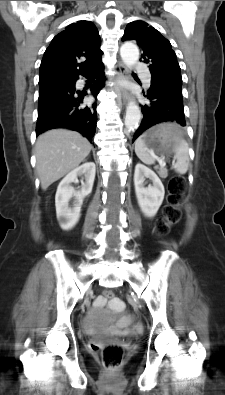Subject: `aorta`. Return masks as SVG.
<instances>
[{
	"mask_svg": "<svg viewBox=\"0 0 225 395\" xmlns=\"http://www.w3.org/2000/svg\"><path fill=\"white\" fill-rule=\"evenodd\" d=\"M120 56L127 67L135 65L139 59V49L132 43H124L120 48ZM141 120V111L137 104L129 102L126 108L125 127L134 130Z\"/></svg>",
	"mask_w": 225,
	"mask_h": 395,
	"instance_id": "obj_1",
	"label": "aorta"
}]
</instances>
